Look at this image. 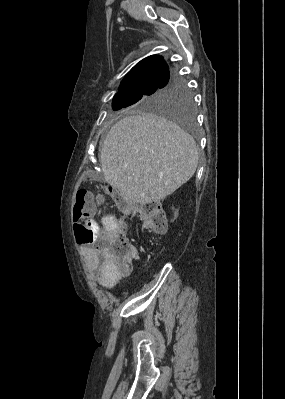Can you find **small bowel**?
Segmentation results:
<instances>
[{
    "mask_svg": "<svg viewBox=\"0 0 285 399\" xmlns=\"http://www.w3.org/2000/svg\"><path fill=\"white\" fill-rule=\"evenodd\" d=\"M104 226L106 228L114 227V220L110 217H107L103 220ZM84 230L81 234L84 236L87 234V231H97L99 229V224L97 222H91L88 224L87 222H83ZM134 252H137V247L133 248ZM84 255L87 259V263L90 267H98V280L102 287L111 288L119 279L120 274L115 270V268L111 265V263L104 258L101 262L99 258V248L94 246H86L84 248Z\"/></svg>",
    "mask_w": 285,
    "mask_h": 399,
    "instance_id": "obj_1",
    "label": "small bowel"
}]
</instances>
